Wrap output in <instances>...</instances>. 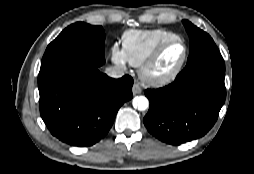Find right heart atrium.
<instances>
[{"mask_svg": "<svg viewBox=\"0 0 254 174\" xmlns=\"http://www.w3.org/2000/svg\"><path fill=\"white\" fill-rule=\"evenodd\" d=\"M111 60L119 66L125 67L127 65V60L123 49H121L117 44H113L110 49Z\"/></svg>", "mask_w": 254, "mask_h": 174, "instance_id": "1", "label": "right heart atrium"}]
</instances>
